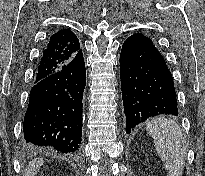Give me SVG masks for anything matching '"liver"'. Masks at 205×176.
Here are the masks:
<instances>
[{
  "instance_id": "6515ba94",
  "label": "liver",
  "mask_w": 205,
  "mask_h": 176,
  "mask_svg": "<svg viewBox=\"0 0 205 176\" xmlns=\"http://www.w3.org/2000/svg\"><path fill=\"white\" fill-rule=\"evenodd\" d=\"M42 165V158L34 159L28 164L24 176H36L37 172L39 171Z\"/></svg>"
}]
</instances>
